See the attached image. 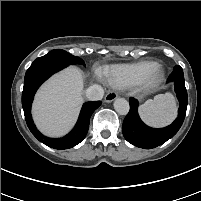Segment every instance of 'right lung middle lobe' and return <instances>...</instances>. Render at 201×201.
<instances>
[{"label":"right lung middle lobe","instance_id":"1","mask_svg":"<svg viewBox=\"0 0 201 201\" xmlns=\"http://www.w3.org/2000/svg\"><path fill=\"white\" fill-rule=\"evenodd\" d=\"M49 53L50 54H59V55L63 56L64 58H66L71 64H82V65H84V61L82 59H80L79 57L73 56L64 50L56 49V50H53Z\"/></svg>","mask_w":201,"mask_h":201}]
</instances>
